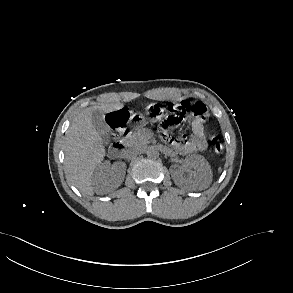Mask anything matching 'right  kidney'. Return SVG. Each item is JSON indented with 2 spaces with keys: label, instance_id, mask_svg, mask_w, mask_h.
<instances>
[{
  "label": "right kidney",
  "instance_id": "right-kidney-1",
  "mask_svg": "<svg viewBox=\"0 0 293 293\" xmlns=\"http://www.w3.org/2000/svg\"><path fill=\"white\" fill-rule=\"evenodd\" d=\"M125 171L126 164L122 162H116L111 165L109 161H106L100 164L93 175L94 187L100 189L110 182L115 186L120 185L124 179Z\"/></svg>",
  "mask_w": 293,
  "mask_h": 293
}]
</instances>
